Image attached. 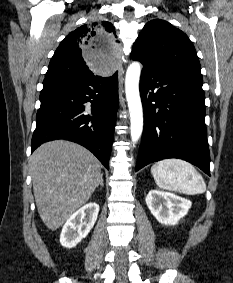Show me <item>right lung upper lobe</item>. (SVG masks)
<instances>
[{"instance_id":"cb5924a9","label":"right lung upper lobe","mask_w":233,"mask_h":283,"mask_svg":"<svg viewBox=\"0 0 233 283\" xmlns=\"http://www.w3.org/2000/svg\"><path fill=\"white\" fill-rule=\"evenodd\" d=\"M118 39L108 21L85 24L69 33L56 49L45 79L89 77L95 70H113L118 59ZM96 59V60H89Z\"/></svg>"}]
</instances>
